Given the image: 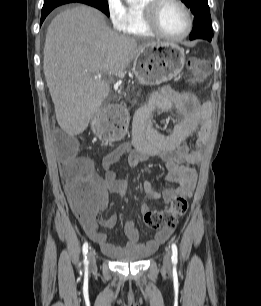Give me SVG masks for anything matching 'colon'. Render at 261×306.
Listing matches in <instances>:
<instances>
[{"label": "colon", "mask_w": 261, "mask_h": 306, "mask_svg": "<svg viewBox=\"0 0 261 306\" xmlns=\"http://www.w3.org/2000/svg\"><path fill=\"white\" fill-rule=\"evenodd\" d=\"M186 66L191 83L203 81L209 73L207 62L200 58L188 59ZM100 121L102 124L100 130L104 137L119 139L124 135L125 120L123 108L120 105L113 107L109 114L104 115ZM59 148L63 158L67 161L63 168V176L66 180L71 203L75 208L80 209L94 196L91 188L92 168L87 162L74 157V139L62 134ZM187 209V199L179 196L174 199L171 207L167 210L144 211L143 220L146 226L151 229L171 228L187 212Z\"/></svg>", "instance_id": "obj_1"}]
</instances>
